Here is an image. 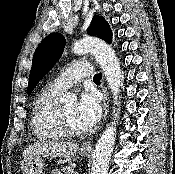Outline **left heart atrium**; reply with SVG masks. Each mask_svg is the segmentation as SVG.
Masks as SVG:
<instances>
[{
    "label": "left heart atrium",
    "instance_id": "obj_1",
    "mask_svg": "<svg viewBox=\"0 0 175 174\" xmlns=\"http://www.w3.org/2000/svg\"><path fill=\"white\" fill-rule=\"evenodd\" d=\"M76 119L79 125L88 130L100 119L101 104L98 96L92 90H85L81 93L76 104Z\"/></svg>",
    "mask_w": 175,
    "mask_h": 174
}]
</instances>
